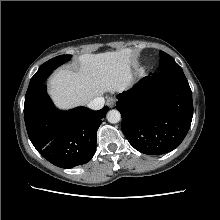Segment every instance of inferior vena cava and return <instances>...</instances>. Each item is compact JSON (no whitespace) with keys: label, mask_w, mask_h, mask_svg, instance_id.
Segmentation results:
<instances>
[{"label":"inferior vena cava","mask_w":220,"mask_h":220,"mask_svg":"<svg viewBox=\"0 0 220 220\" xmlns=\"http://www.w3.org/2000/svg\"><path fill=\"white\" fill-rule=\"evenodd\" d=\"M105 99L102 96L95 97L91 100L87 106L92 110H99L104 106Z\"/></svg>","instance_id":"1"}]
</instances>
